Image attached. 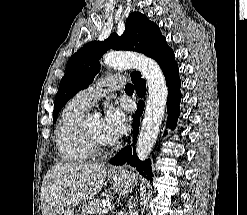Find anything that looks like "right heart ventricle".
Segmentation results:
<instances>
[{
  "instance_id": "obj_1",
  "label": "right heart ventricle",
  "mask_w": 247,
  "mask_h": 215,
  "mask_svg": "<svg viewBox=\"0 0 247 215\" xmlns=\"http://www.w3.org/2000/svg\"><path fill=\"white\" fill-rule=\"evenodd\" d=\"M87 110L72 100L62 111L55 130V143L66 162L82 163L94 155L82 134V120Z\"/></svg>"
}]
</instances>
